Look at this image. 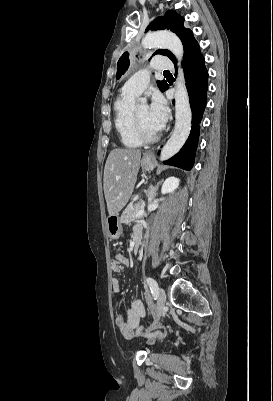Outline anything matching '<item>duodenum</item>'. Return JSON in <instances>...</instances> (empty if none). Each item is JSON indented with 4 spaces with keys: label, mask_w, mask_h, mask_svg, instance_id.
Wrapping results in <instances>:
<instances>
[{
    "label": "duodenum",
    "mask_w": 273,
    "mask_h": 401,
    "mask_svg": "<svg viewBox=\"0 0 273 401\" xmlns=\"http://www.w3.org/2000/svg\"><path fill=\"white\" fill-rule=\"evenodd\" d=\"M141 242H142V234L135 235L133 239V250L135 252L139 249Z\"/></svg>",
    "instance_id": "obj_1"
}]
</instances>
